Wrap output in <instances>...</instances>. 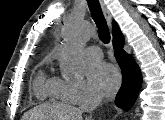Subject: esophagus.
Returning a JSON list of instances; mask_svg holds the SVG:
<instances>
[{"instance_id": "1", "label": "esophagus", "mask_w": 165, "mask_h": 120, "mask_svg": "<svg viewBox=\"0 0 165 120\" xmlns=\"http://www.w3.org/2000/svg\"><path fill=\"white\" fill-rule=\"evenodd\" d=\"M100 4H101V8H102V11H103V13L105 15L106 20L108 21V24H110L111 23V15H110V13H109V11H108L104 1L100 0Z\"/></svg>"}]
</instances>
